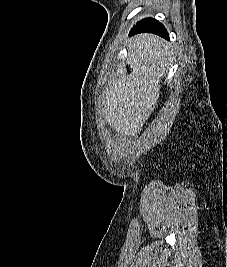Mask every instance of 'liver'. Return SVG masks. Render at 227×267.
Returning a JSON list of instances; mask_svg holds the SVG:
<instances>
[{
  "label": "liver",
  "mask_w": 227,
  "mask_h": 267,
  "mask_svg": "<svg viewBox=\"0 0 227 267\" xmlns=\"http://www.w3.org/2000/svg\"><path fill=\"white\" fill-rule=\"evenodd\" d=\"M167 43L155 35H138L130 41L129 75L111 82L104 94L103 114L121 134L138 132L153 112L160 94V81L171 60Z\"/></svg>",
  "instance_id": "obj_1"
}]
</instances>
